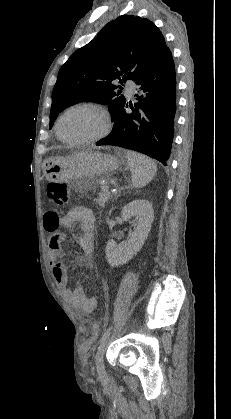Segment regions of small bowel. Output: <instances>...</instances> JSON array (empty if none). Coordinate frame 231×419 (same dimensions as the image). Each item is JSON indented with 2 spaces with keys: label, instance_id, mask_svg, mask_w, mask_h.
<instances>
[{
  "label": "small bowel",
  "instance_id": "c3829d8e",
  "mask_svg": "<svg viewBox=\"0 0 231 419\" xmlns=\"http://www.w3.org/2000/svg\"><path fill=\"white\" fill-rule=\"evenodd\" d=\"M43 224L47 231L51 232L48 244L49 264L57 286L62 289L66 299L79 315H89L98 306L95 297L87 296L80 286L68 287V278L65 264L61 261V244L65 235L57 231L58 227L69 228L74 224L80 225V232L75 236L77 244L83 250V262L91 257L94 249L95 217L91 210L85 207H75L63 217L55 213L44 215Z\"/></svg>",
  "mask_w": 231,
  "mask_h": 419
}]
</instances>
